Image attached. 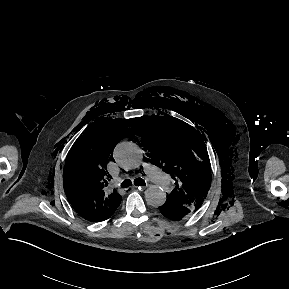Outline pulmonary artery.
I'll return each mask as SVG.
<instances>
[{
	"label": "pulmonary artery",
	"mask_w": 289,
	"mask_h": 289,
	"mask_svg": "<svg viewBox=\"0 0 289 289\" xmlns=\"http://www.w3.org/2000/svg\"><path fill=\"white\" fill-rule=\"evenodd\" d=\"M145 173L152 179L161 189L166 190L170 187L171 181L169 177L162 172L157 166L149 161L143 163Z\"/></svg>",
	"instance_id": "pulmonary-artery-1"
}]
</instances>
